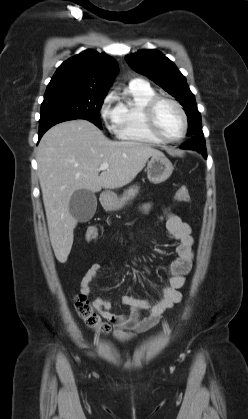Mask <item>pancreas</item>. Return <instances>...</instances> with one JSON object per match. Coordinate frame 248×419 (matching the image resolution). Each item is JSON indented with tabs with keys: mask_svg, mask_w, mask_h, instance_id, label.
I'll list each match as a JSON object with an SVG mask.
<instances>
[{
	"mask_svg": "<svg viewBox=\"0 0 248 419\" xmlns=\"http://www.w3.org/2000/svg\"><path fill=\"white\" fill-rule=\"evenodd\" d=\"M137 191L138 187H131L129 190H127L126 194L128 196H134Z\"/></svg>",
	"mask_w": 248,
	"mask_h": 419,
	"instance_id": "obj_1",
	"label": "pancreas"
}]
</instances>
